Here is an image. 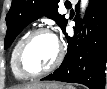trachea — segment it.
<instances>
[{
	"mask_svg": "<svg viewBox=\"0 0 107 89\" xmlns=\"http://www.w3.org/2000/svg\"><path fill=\"white\" fill-rule=\"evenodd\" d=\"M67 6H70V4L68 3V4H66Z\"/></svg>",
	"mask_w": 107,
	"mask_h": 89,
	"instance_id": "3493384b",
	"label": "trachea"
}]
</instances>
